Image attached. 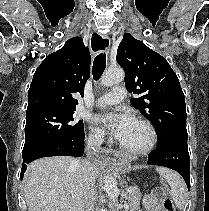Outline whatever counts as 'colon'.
<instances>
[{"mask_svg": "<svg viewBox=\"0 0 209 211\" xmlns=\"http://www.w3.org/2000/svg\"><path fill=\"white\" fill-rule=\"evenodd\" d=\"M165 211H176L175 205L170 198H165L163 201Z\"/></svg>", "mask_w": 209, "mask_h": 211, "instance_id": "obj_1", "label": "colon"}]
</instances>
